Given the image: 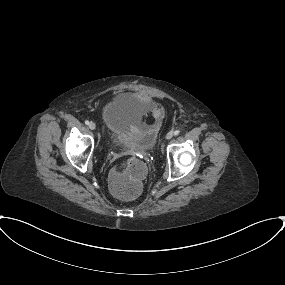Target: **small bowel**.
<instances>
[{
  "label": "small bowel",
  "instance_id": "1",
  "mask_svg": "<svg viewBox=\"0 0 285 285\" xmlns=\"http://www.w3.org/2000/svg\"><path fill=\"white\" fill-rule=\"evenodd\" d=\"M166 116V111L163 108H154L152 110L150 121L154 123H158L162 121ZM103 120L107 126V128L113 133H121L128 126L133 127L136 123L135 120H131L130 122H125L122 117L115 113L112 109L108 108L103 114Z\"/></svg>",
  "mask_w": 285,
  "mask_h": 285
}]
</instances>
